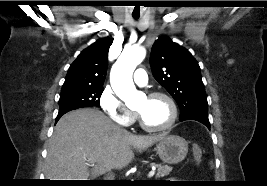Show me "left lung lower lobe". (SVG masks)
<instances>
[{"mask_svg": "<svg viewBox=\"0 0 267 186\" xmlns=\"http://www.w3.org/2000/svg\"><path fill=\"white\" fill-rule=\"evenodd\" d=\"M184 120H196L198 122H201L202 124H204L208 129H210V123L208 119H202V118H187V119H182L180 121H184Z\"/></svg>", "mask_w": 267, "mask_h": 186, "instance_id": "left-lung-lower-lobe-1", "label": "left lung lower lobe"}]
</instances>
